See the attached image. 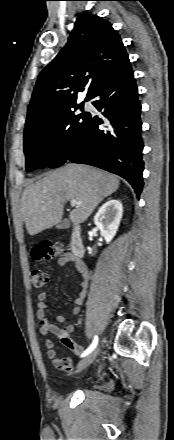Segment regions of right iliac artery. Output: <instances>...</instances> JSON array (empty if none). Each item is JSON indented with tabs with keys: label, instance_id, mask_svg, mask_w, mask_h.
<instances>
[{
	"label": "right iliac artery",
	"instance_id": "right-iliac-artery-1",
	"mask_svg": "<svg viewBox=\"0 0 174 440\" xmlns=\"http://www.w3.org/2000/svg\"><path fill=\"white\" fill-rule=\"evenodd\" d=\"M97 344H98V337H97V335H95L92 344L88 347V349H86V350L83 352V354L81 355V357H84V356L88 355L90 352H92V351L96 348Z\"/></svg>",
	"mask_w": 174,
	"mask_h": 440
}]
</instances>
